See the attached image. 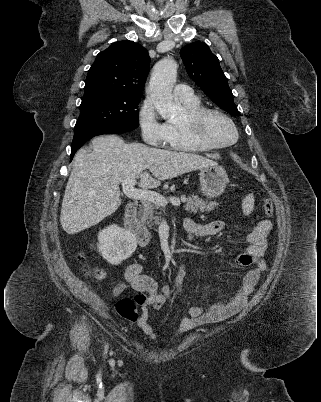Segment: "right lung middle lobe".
Returning <instances> with one entry per match:
<instances>
[{"label":"right lung middle lobe","instance_id":"obj_1","mask_svg":"<svg viewBox=\"0 0 321 402\" xmlns=\"http://www.w3.org/2000/svg\"><path fill=\"white\" fill-rule=\"evenodd\" d=\"M140 96H130L102 89L84 90L80 116L75 129L97 126H139L138 104Z\"/></svg>","mask_w":321,"mask_h":402}]
</instances>
